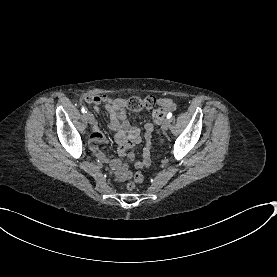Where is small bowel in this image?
<instances>
[{"instance_id": "c3829d8e", "label": "small bowel", "mask_w": 277, "mask_h": 277, "mask_svg": "<svg viewBox=\"0 0 277 277\" xmlns=\"http://www.w3.org/2000/svg\"><path fill=\"white\" fill-rule=\"evenodd\" d=\"M90 96L85 97L88 101ZM97 99L100 103H105V108L109 116V128L115 132V139L118 144V155L123 157L125 150L134 147L140 142V130L137 127H132L127 120V115L125 111L126 102L121 98H108L105 95L96 96L92 95L89 99L91 104H95ZM160 108L167 113L174 109V103L171 99L163 98L158 101ZM96 108V105H93ZM145 129V139L146 146L143 150L142 159L135 163L137 168H144L150 165V147H151V137L153 128L151 123L148 122L144 125ZM106 139L105 135L98 129H96L91 136L89 145L91 149L96 148L97 142H102ZM97 157L104 162L105 165L113 167L115 180L118 182H123L130 178L131 171L127 165L122 164L120 160H112L111 158H105L104 154L96 150ZM133 160V156H130Z\"/></svg>"}]
</instances>
